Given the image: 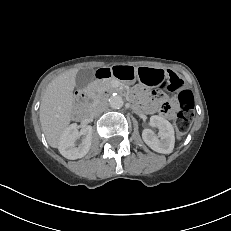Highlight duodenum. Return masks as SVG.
Masks as SVG:
<instances>
[{
    "instance_id": "1",
    "label": "duodenum",
    "mask_w": 231,
    "mask_h": 231,
    "mask_svg": "<svg viewBox=\"0 0 231 231\" xmlns=\"http://www.w3.org/2000/svg\"><path fill=\"white\" fill-rule=\"evenodd\" d=\"M88 98H89V92L83 90L79 93V100L86 101ZM76 112L78 113L81 120H86L88 118L87 115L80 114L78 109H76Z\"/></svg>"
}]
</instances>
